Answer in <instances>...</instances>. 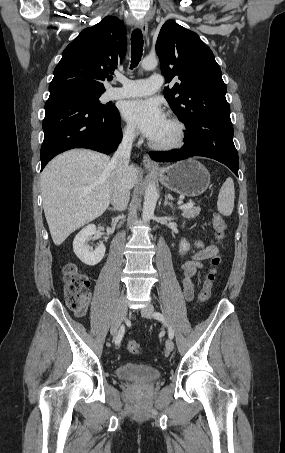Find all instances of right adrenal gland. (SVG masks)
Returning a JSON list of instances; mask_svg holds the SVG:
<instances>
[{
  "label": "right adrenal gland",
  "mask_w": 285,
  "mask_h": 453,
  "mask_svg": "<svg viewBox=\"0 0 285 453\" xmlns=\"http://www.w3.org/2000/svg\"><path fill=\"white\" fill-rule=\"evenodd\" d=\"M109 211H115V208H108Z\"/></svg>",
  "instance_id": "2a0ac1e0"
}]
</instances>
